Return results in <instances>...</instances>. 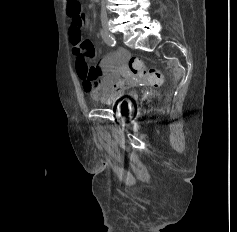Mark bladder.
Returning <instances> with one entry per match:
<instances>
[{"label": "bladder", "mask_w": 237, "mask_h": 232, "mask_svg": "<svg viewBox=\"0 0 237 232\" xmlns=\"http://www.w3.org/2000/svg\"><path fill=\"white\" fill-rule=\"evenodd\" d=\"M135 101L131 98L121 99L114 105L115 109L120 111L122 114L130 113L134 110Z\"/></svg>", "instance_id": "obj_1"}]
</instances>
